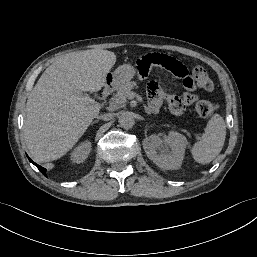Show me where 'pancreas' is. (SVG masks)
<instances>
[{"mask_svg":"<svg viewBox=\"0 0 257 257\" xmlns=\"http://www.w3.org/2000/svg\"><path fill=\"white\" fill-rule=\"evenodd\" d=\"M137 84L134 81L127 82L119 87L117 93L109 101V110H116L125 106L131 90L136 88Z\"/></svg>","mask_w":257,"mask_h":257,"instance_id":"pancreas-1","label":"pancreas"}]
</instances>
